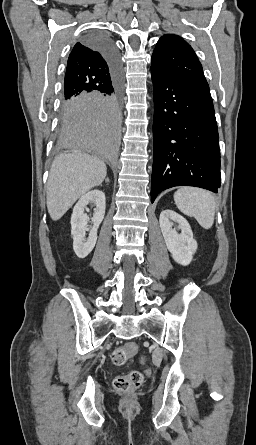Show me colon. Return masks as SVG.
Instances as JSON below:
<instances>
[{
	"label": "colon",
	"instance_id": "5ec220e1",
	"mask_svg": "<svg viewBox=\"0 0 256 445\" xmlns=\"http://www.w3.org/2000/svg\"><path fill=\"white\" fill-rule=\"evenodd\" d=\"M138 348L134 343H126L118 347L112 354V362L115 365H124L131 357L137 354ZM143 382V376L138 371L120 375L114 380V388L123 393H131L137 390Z\"/></svg>",
	"mask_w": 256,
	"mask_h": 445
}]
</instances>
